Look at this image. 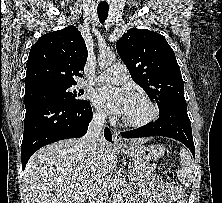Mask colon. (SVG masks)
Listing matches in <instances>:
<instances>
[{
    "mask_svg": "<svg viewBox=\"0 0 222 203\" xmlns=\"http://www.w3.org/2000/svg\"><path fill=\"white\" fill-rule=\"evenodd\" d=\"M165 177L167 179V181L173 185V186H176L177 185V180H176V176H175V173L174 171L171 169V168H168L166 171H165Z\"/></svg>",
    "mask_w": 222,
    "mask_h": 203,
    "instance_id": "5ec220e1",
    "label": "colon"
}]
</instances>
